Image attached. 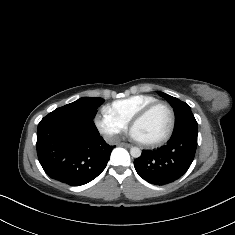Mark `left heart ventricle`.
<instances>
[{
  "instance_id": "left-heart-ventricle-1",
  "label": "left heart ventricle",
  "mask_w": 235,
  "mask_h": 235,
  "mask_svg": "<svg viewBox=\"0 0 235 235\" xmlns=\"http://www.w3.org/2000/svg\"><path fill=\"white\" fill-rule=\"evenodd\" d=\"M170 126V115L163 108L153 110L146 118L134 124L133 129L141 142H152L163 137Z\"/></svg>"
}]
</instances>
